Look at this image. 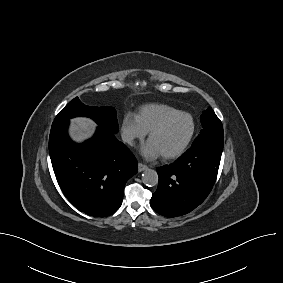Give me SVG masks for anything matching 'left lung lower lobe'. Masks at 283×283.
Wrapping results in <instances>:
<instances>
[{"mask_svg": "<svg viewBox=\"0 0 283 283\" xmlns=\"http://www.w3.org/2000/svg\"><path fill=\"white\" fill-rule=\"evenodd\" d=\"M223 148L191 146L175 163L157 168L158 188L150 205L166 217L185 215L199 206L215 183Z\"/></svg>", "mask_w": 283, "mask_h": 283, "instance_id": "0a47b994", "label": "left lung lower lobe"}]
</instances>
